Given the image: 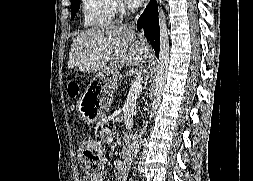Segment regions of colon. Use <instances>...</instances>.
Returning <instances> with one entry per match:
<instances>
[{
  "label": "colon",
  "mask_w": 253,
  "mask_h": 181,
  "mask_svg": "<svg viewBox=\"0 0 253 181\" xmlns=\"http://www.w3.org/2000/svg\"><path fill=\"white\" fill-rule=\"evenodd\" d=\"M69 96L73 99L79 93L76 83H71L68 88ZM81 168L88 173H95L104 165L106 153L103 145L97 139H86L79 148Z\"/></svg>",
  "instance_id": "obj_1"
}]
</instances>
